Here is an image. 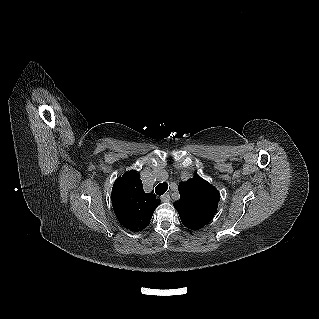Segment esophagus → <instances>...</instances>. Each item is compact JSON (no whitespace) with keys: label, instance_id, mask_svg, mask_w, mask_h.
Returning a JSON list of instances; mask_svg holds the SVG:
<instances>
[{"label":"esophagus","instance_id":"esophagus-1","mask_svg":"<svg viewBox=\"0 0 319 319\" xmlns=\"http://www.w3.org/2000/svg\"><path fill=\"white\" fill-rule=\"evenodd\" d=\"M160 199L163 202H168L170 200V194L166 193V194L162 195Z\"/></svg>","mask_w":319,"mask_h":319}]
</instances>
